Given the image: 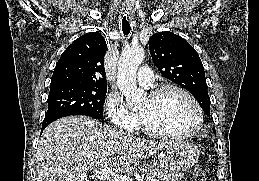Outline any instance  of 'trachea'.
Here are the masks:
<instances>
[{
    "label": "trachea",
    "mask_w": 259,
    "mask_h": 181,
    "mask_svg": "<svg viewBox=\"0 0 259 181\" xmlns=\"http://www.w3.org/2000/svg\"><path fill=\"white\" fill-rule=\"evenodd\" d=\"M131 27L128 21L125 19L122 21V31L124 35H128L130 33Z\"/></svg>",
    "instance_id": "1"
}]
</instances>
